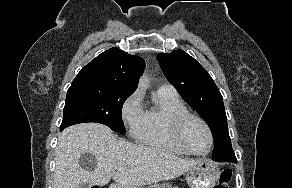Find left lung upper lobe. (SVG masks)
Segmentation results:
<instances>
[{
    "label": "left lung upper lobe",
    "mask_w": 292,
    "mask_h": 188,
    "mask_svg": "<svg viewBox=\"0 0 292 188\" xmlns=\"http://www.w3.org/2000/svg\"><path fill=\"white\" fill-rule=\"evenodd\" d=\"M157 59L168 81L209 125L214 137L212 159L221 161L234 154L223 97L209 73L183 50L159 53Z\"/></svg>",
    "instance_id": "1"
}]
</instances>
